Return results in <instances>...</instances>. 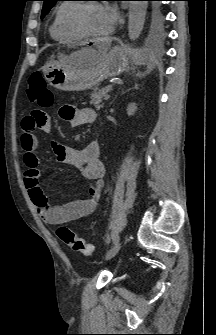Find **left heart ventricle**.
Returning <instances> with one entry per match:
<instances>
[{"label": "left heart ventricle", "instance_id": "1", "mask_svg": "<svg viewBox=\"0 0 216 335\" xmlns=\"http://www.w3.org/2000/svg\"><path fill=\"white\" fill-rule=\"evenodd\" d=\"M84 21L86 27L96 33H103L109 30V25L99 4L91 5L85 12Z\"/></svg>", "mask_w": 216, "mask_h": 335}]
</instances>
